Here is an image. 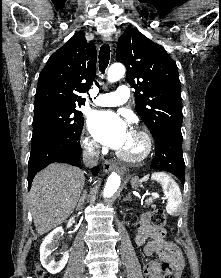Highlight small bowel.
Listing matches in <instances>:
<instances>
[{"label": "small bowel", "mask_w": 221, "mask_h": 278, "mask_svg": "<svg viewBox=\"0 0 221 278\" xmlns=\"http://www.w3.org/2000/svg\"><path fill=\"white\" fill-rule=\"evenodd\" d=\"M165 230L150 222L149 214L143 215L135 238L138 246H143L144 254L151 257L158 254V259H151L144 264L145 278H164L161 263L169 262L175 267L178 276L184 267L183 256L173 243L164 240Z\"/></svg>", "instance_id": "small-bowel-1"}]
</instances>
